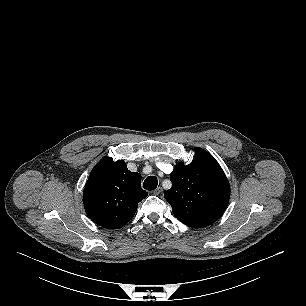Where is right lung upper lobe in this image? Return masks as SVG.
Segmentation results:
<instances>
[{"label": "right lung upper lobe", "mask_w": 306, "mask_h": 306, "mask_svg": "<svg viewBox=\"0 0 306 306\" xmlns=\"http://www.w3.org/2000/svg\"><path fill=\"white\" fill-rule=\"evenodd\" d=\"M141 175L130 172L122 160L107 157L91 171L83 203L90 219L104 228H121L134 216L138 203L147 197Z\"/></svg>", "instance_id": "obj_1"}]
</instances>
